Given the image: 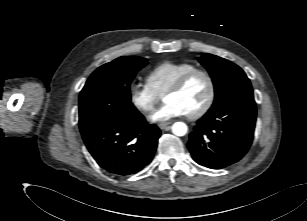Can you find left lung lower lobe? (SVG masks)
Instances as JSON below:
<instances>
[{
    "mask_svg": "<svg viewBox=\"0 0 307 221\" xmlns=\"http://www.w3.org/2000/svg\"><path fill=\"white\" fill-rule=\"evenodd\" d=\"M256 115L254 99H237L209 110L197 121L187 143L193 159L211 169L238 162L251 146Z\"/></svg>",
    "mask_w": 307,
    "mask_h": 221,
    "instance_id": "0a47b994",
    "label": "left lung lower lobe"
}]
</instances>
